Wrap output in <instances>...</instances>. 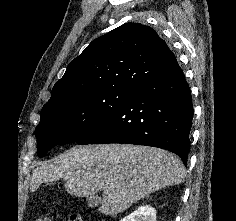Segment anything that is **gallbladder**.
Segmentation results:
<instances>
[{"instance_id":"bac80fb5","label":"gallbladder","mask_w":236,"mask_h":221,"mask_svg":"<svg viewBox=\"0 0 236 221\" xmlns=\"http://www.w3.org/2000/svg\"><path fill=\"white\" fill-rule=\"evenodd\" d=\"M101 203V198L97 195L87 198V204L89 207H97Z\"/></svg>"}]
</instances>
